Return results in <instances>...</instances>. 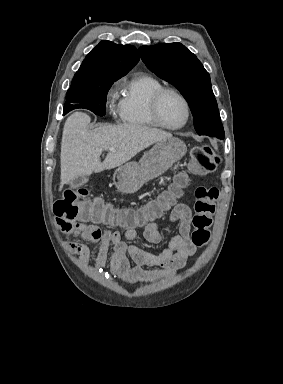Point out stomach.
<instances>
[{
  "label": "stomach",
  "mask_w": 283,
  "mask_h": 384,
  "mask_svg": "<svg viewBox=\"0 0 283 384\" xmlns=\"http://www.w3.org/2000/svg\"><path fill=\"white\" fill-rule=\"evenodd\" d=\"M187 152L186 144L178 138H165L144 152L139 162H128L117 168L113 182L122 194H135L143 184L167 172Z\"/></svg>",
  "instance_id": "0dacf381"
}]
</instances>
